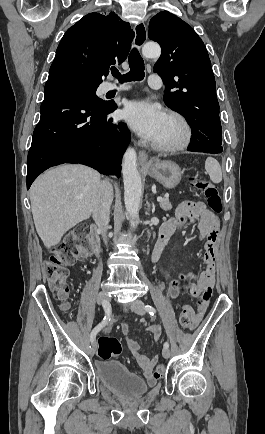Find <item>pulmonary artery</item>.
I'll return each instance as SVG.
<instances>
[{"label":"pulmonary artery","instance_id":"1","mask_svg":"<svg viewBox=\"0 0 265 434\" xmlns=\"http://www.w3.org/2000/svg\"><path fill=\"white\" fill-rule=\"evenodd\" d=\"M150 81L152 84H159L161 81V78L159 75H152L150 78ZM115 87L117 90H124L126 87V84L124 81H117L115 84Z\"/></svg>","mask_w":265,"mask_h":434}]
</instances>
